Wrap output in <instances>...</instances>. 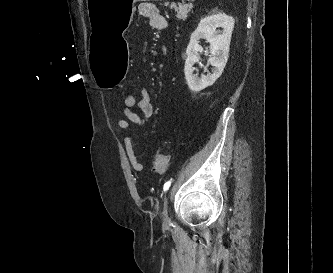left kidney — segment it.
<instances>
[{"mask_svg":"<svg viewBox=\"0 0 333 273\" xmlns=\"http://www.w3.org/2000/svg\"><path fill=\"white\" fill-rule=\"evenodd\" d=\"M234 19L225 13H218L202 19L197 29L191 34L186 49L185 79L190 90L201 91L211 86L222 74L229 56V46L234 28ZM222 28V31L217 28ZM200 39L210 43V64L213 66L212 74L208 73L199 78L194 74L193 65L199 62V53L203 48L199 45Z\"/></svg>","mask_w":333,"mask_h":273,"instance_id":"5707ae66","label":"left kidney"}]
</instances>
